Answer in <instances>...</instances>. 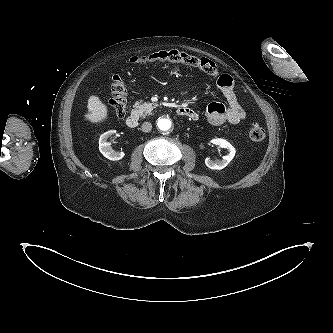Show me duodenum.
I'll return each mask as SVG.
<instances>
[{
    "label": "duodenum",
    "instance_id": "obj_1",
    "mask_svg": "<svg viewBox=\"0 0 333 333\" xmlns=\"http://www.w3.org/2000/svg\"><path fill=\"white\" fill-rule=\"evenodd\" d=\"M177 113L179 115H183L184 111H185V107H178L176 109ZM126 125L129 128H135L138 125V116L136 114H130L127 118H126Z\"/></svg>",
    "mask_w": 333,
    "mask_h": 333
}]
</instances>
